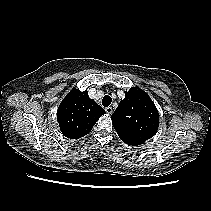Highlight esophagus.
Here are the masks:
<instances>
[{
	"instance_id": "1",
	"label": "esophagus",
	"mask_w": 211,
	"mask_h": 211,
	"mask_svg": "<svg viewBox=\"0 0 211 211\" xmlns=\"http://www.w3.org/2000/svg\"><path fill=\"white\" fill-rule=\"evenodd\" d=\"M105 111H106L107 114H112L113 109H112V107L109 106V107L105 108Z\"/></svg>"
}]
</instances>
